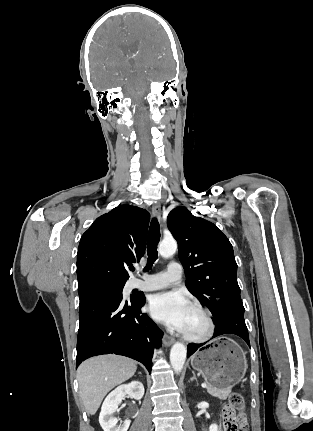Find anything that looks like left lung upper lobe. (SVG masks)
I'll return each instance as SVG.
<instances>
[{"mask_svg": "<svg viewBox=\"0 0 313 431\" xmlns=\"http://www.w3.org/2000/svg\"><path fill=\"white\" fill-rule=\"evenodd\" d=\"M167 225L178 242L186 286L208 307L214 322L231 314H244L237 263L228 238L215 224L193 216L184 207L169 213Z\"/></svg>", "mask_w": 313, "mask_h": 431, "instance_id": "left-lung-upper-lobe-1", "label": "left lung upper lobe"}]
</instances>
